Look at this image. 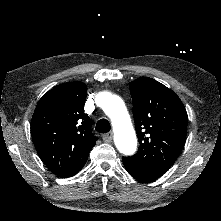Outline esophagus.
Listing matches in <instances>:
<instances>
[{
  "label": "esophagus",
  "mask_w": 221,
  "mask_h": 221,
  "mask_svg": "<svg viewBox=\"0 0 221 221\" xmlns=\"http://www.w3.org/2000/svg\"><path fill=\"white\" fill-rule=\"evenodd\" d=\"M102 139L106 143H111V141H112V134L111 133H107V134L105 133V134L102 135Z\"/></svg>",
  "instance_id": "obj_1"
}]
</instances>
